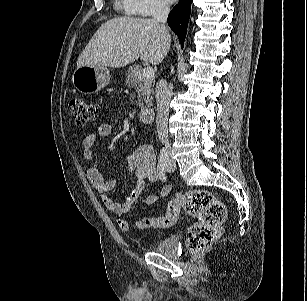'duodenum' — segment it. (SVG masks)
<instances>
[{
	"instance_id": "duodenum-1",
	"label": "duodenum",
	"mask_w": 307,
	"mask_h": 301,
	"mask_svg": "<svg viewBox=\"0 0 307 301\" xmlns=\"http://www.w3.org/2000/svg\"><path fill=\"white\" fill-rule=\"evenodd\" d=\"M155 116V110L152 107H146L139 112V121L142 124H150L153 122Z\"/></svg>"
}]
</instances>
